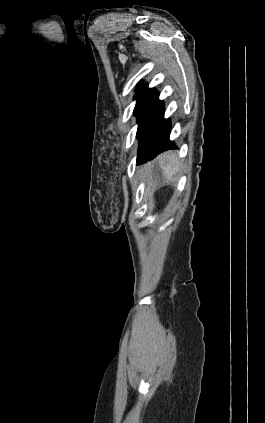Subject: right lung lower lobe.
Returning a JSON list of instances; mask_svg holds the SVG:
<instances>
[{
	"label": "right lung lower lobe",
	"instance_id": "obj_1",
	"mask_svg": "<svg viewBox=\"0 0 265 423\" xmlns=\"http://www.w3.org/2000/svg\"><path fill=\"white\" fill-rule=\"evenodd\" d=\"M139 148L137 163L154 158L160 152L175 148L169 140L171 124L164 119V104L158 99V93L153 92L137 113Z\"/></svg>",
	"mask_w": 265,
	"mask_h": 423
}]
</instances>
